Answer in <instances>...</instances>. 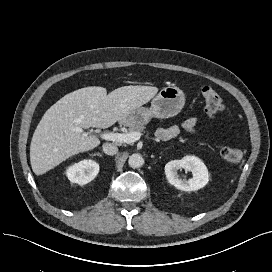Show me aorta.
Here are the masks:
<instances>
[{"label": "aorta", "instance_id": "obj_1", "mask_svg": "<svg viewBox=\"0 0 272 272\" xmlns=\"http://www.w3.org/2000/svg\"><path fill=\"white\" fill-rule=\"evenodd\" d=\"M128 164L131 168H139L144 164V159L140 154L134 153L129 157Z\"/></svg>", "mask_w": 272, "mask_h": 272}]
</instances>
